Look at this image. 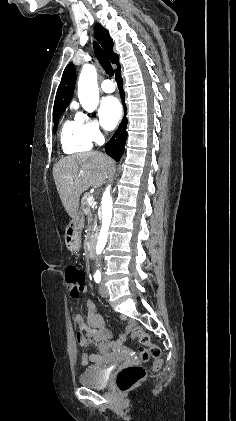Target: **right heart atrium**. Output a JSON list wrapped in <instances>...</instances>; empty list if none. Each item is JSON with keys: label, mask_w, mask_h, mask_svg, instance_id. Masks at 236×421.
I'll return each mask as SVG.
<instances>
[{"label": "right heart atrium", "mask_w": 236, "mask_h": 421, "mask_svg": "<svg viewBox=\"0 0 236 421\" xmlns=\"http://www.w3.org/2000/svg\"><path fill=\"white\" fill-rule=\"evenodd\" d=\"M76 120L83 127L92 142H99L103 139L104 134L100 122L96 117L84 112H78Z\"/></svg>", "instance_id": "d8ad5b80"}]
</instances>
